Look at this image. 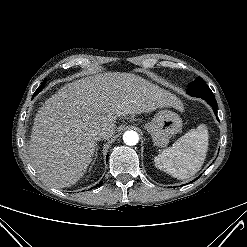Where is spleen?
Masks as SVG:
<instances>
[{"mask_svg": "<svg viewBox=\"0 0 247 247\" xmlns=\"http://www.w3.org/2000/svg\"><path fill=\"white\" fill-rule=\"evenodd\" d=\"M208 129L200 124L180 137L172 147L154 158L156 168L183 180L195 175L202 167L208 150Z\"/></svg>", "mask_w": 247, "mask_h": 247, "instance_id": "1", "label": "spleen"}]
</instances>
